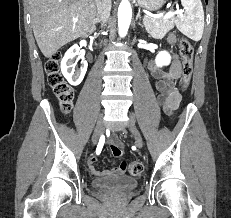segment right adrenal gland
Here are the masks:
<instances>
[{
    "instance_id": "2a0ac1e0",
    "label": "right adrenal gland",
    "mask_w": 231,
    "mask_h": 218,
    "mask_svg": "<svg viewBox=\"0 0 231 218\" xmlns=\"http://www.w3.org/2000/svg\"><path fill=\"white\" fill-rule=\"evenodd\" d=\"M98 23H99V20L95 19L94 22H93V29L96 28V24H98Z\"/></svg>"
}]
</instances>
